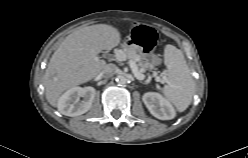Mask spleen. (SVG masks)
I'll use <instances>...</instances> for the list:
<instances>
[{
  "instance_id": "1",
  "label": "spleen",
  "mask_w": 248,
  "mask_h": 158,
  "mask_svg": "<svg viewBox=\"0 0 248 158\" xmlns=\"http://www.w3.org/2000/svg\"><path fill=\"white\" fill-rule=\"evenodd\" d=\"M164 63L167 68V84L162 93L179 112H183L192 102L195 82L182 51L175 46L165 47Z\"/></svg>"
}]
</instances>
